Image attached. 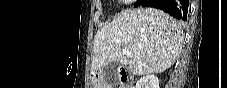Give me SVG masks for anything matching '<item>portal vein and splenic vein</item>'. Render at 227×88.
Returning <instances> with one entry per match:
<instances>
[{"label":"portal vein and splenic vein","instance_id":"18ae733b","mask_svg":"<svg viewBox=\"0 0 227 88\" xmlns=\"http://www.w3.org/2000/svg\"><path fill=\"white\" fill-rule=\"evenodd\" d=\"M122 53L125 54L128 57L132 56L131 52L128 49H126V48L122 49Z\"/></svg>","mask_w":227,"mask_h":88}]
</instances>
